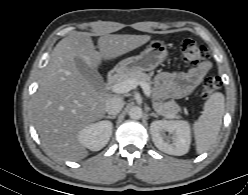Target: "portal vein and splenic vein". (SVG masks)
<instances>
[{
    "mask_svg": "<svg viewBox=\"0 0 248 195\" xmlns=\"http://www.w3.org/2000/svg\"><path fill=\"white\" fill-rule=\"evenodd\" d=\"M138 85L141 86V88L144 91V94L147 97H150L151 95L150 86L146 82H138L135 79H128L126 81L114 84L111 87V91L114 93L123 94L129 92L132 89H135Z\"/></svg>",
    "mask_w": 248,
    "mask_h": 195,
    "instance_id": "1",
    "label": "portal vein and splenic vein"
}]
</instances>
